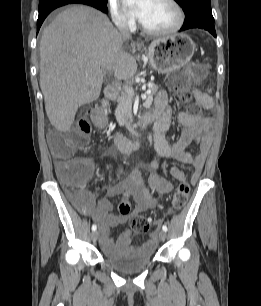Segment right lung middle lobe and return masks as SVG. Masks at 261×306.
<instances>
[{
  "label": "right lung middle lobe",
  "instance_id": "dd1d6c3e",
  "mask_svg": "<svg viewBox=\"0 0 261 306\" xmlns=\"http://www.w3.org/2000/svg\"><path fill=\"white\" fill-rule=\"evenodd\" d=\"M90 1L95 2V3H99V4L104 5V6H106V4H107V0H90Z\"/></svg>",
  "mask_w": 261,
  "mask_h": 306
}]
</instances>
